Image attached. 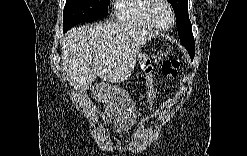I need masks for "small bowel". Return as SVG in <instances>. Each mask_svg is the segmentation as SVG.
Here are the masks:
<instances>
[{"instance_id": "obj_1", "label": "small bowel", "mask_w": 247, "mask_h": 156, "mask_svg": "<svg viewBox=\"0 0 247 156\" xmlns=\"http://www.w3.org/2000/svg\"><path fill=\"white\" fill-rule=\"evenodd\" d=\"M143 71L146 76V84H147V92L149 96V101L150 103H153L155 99V90L153 86V80H152V71H153V66L150 62H146L143 64Z\"/></svg>"}]
</instances>
